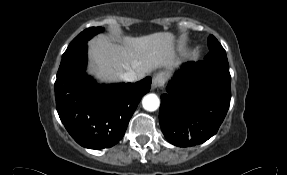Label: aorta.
I'll use <instances>...</instances> for the list:
<instances>
[{"label":"aorta","mask_w":287,"mask_h":175,"mask_svg":"<svg viewBox=\"0 0 287 175\" xmlns=\"http://www.w3.org/2000/svg\"><path fill=\"white\" fill-rule=\"evenodd\" d=\"M142 105L147 111H155L160 106V100L156 94H148L143 98Z\"/></svg>","instance_id":"762f6f07"}]
</instances>
